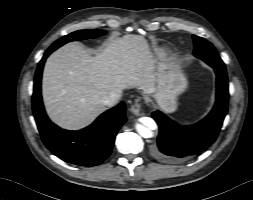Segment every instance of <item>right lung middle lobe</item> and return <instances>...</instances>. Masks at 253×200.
I'll return each mask as SVG.
<instances>
[{"instance_id": "dd1d6c3e", "label": "right lung middle lobe", "mask_w": 253, "mask_h": 200, "mask_svg": "<svg viewBox=\"0 0 253 200\" xmlns=\"http://www.w3.org/2000/svg\"><path fill=\"white\" fill-rule=\"evenodd\" d=\"M106 32L100 29H92V30H80L70 33L62 38L58 39L54 42L49 48H59L63 44L74 41V40H81V39H88V38H95L101 35H104Z\"/></svg>"}]
</instances>
